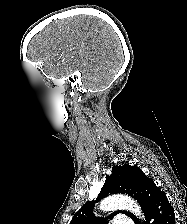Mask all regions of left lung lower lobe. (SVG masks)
<instances>
[{
  "instance_id": "obj_1",
  "label": "left lung lower lobe",
  "mask_w": 187,
  "mask_h": 224,
  "mask_svg": "<svg viewBox=\"0 0 187 224\" xmlns=\"http://www.w3.org/2000/svg\"><path fill=\"white\" fill-rule=\"evenodd\" d=\"M135 224H175V214L166 195L158 189L145 214V221Z\"/></svg>"
}]
</instances>
